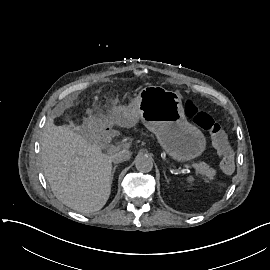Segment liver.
Here are the masks:
<instances>
[{
  "mask_svg": "<svg viewBox=\"0 0 270 270\" xmlns=\"http://www.w3.org/2000/svg\"><path fill=\"white\" fill-rule=\"evenodd\" d=\"M135 120L124 122L132 127ZM128 144L124 151L128 152ZM130 154V153H129ZM44 175L55 197L66 206L90 213L100 210L111 192V156L103 154L98 140L84 139L50 118L41 139Z\"/></svg>",
  "mask_w": 270,
  "mask_h": 270,
  "instance_id": "obj_1",
  "label": "liver"
}]
</instances>
